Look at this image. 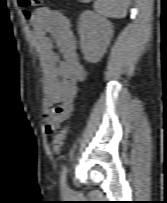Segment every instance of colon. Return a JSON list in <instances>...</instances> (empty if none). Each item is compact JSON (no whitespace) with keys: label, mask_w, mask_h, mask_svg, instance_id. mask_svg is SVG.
Returning <instances> with one entry per match:
<instances>
[{"label":"colon","mask_w":167,"mask_h":203,"mask_svg":"<svg viewBox=\"0 0 167 203\" xmlns=\"http://www.w3.org/2000/svg\"><path fill=\"white\" fill-rule=\"evenodd\" d=\"M17 2L20 8L27 10L29 8L41 5L42 0H17ZM67 129H68V125L62 128L54 137V140L52 142V151L54 154L60 153L64 144V139L67 133Z\"/></svg>","instance_id":"5ec220e1"}]
</instances>
